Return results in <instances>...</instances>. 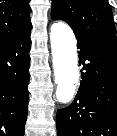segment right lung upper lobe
I'll list each match as a JSON object with an SVG mask.
<instances>
[{
	"mask_svg": "<svg viewBox=\"0 0 117 136\" xmlns=\"http://www.w3.org/2000/svg\"><path fill=\"white\" fill-rule=\"evenodd\" d=\"M29 0H0V43L32 29Z\"/></svg>",
	"mask_w": 117,
	"mask_h": 136,
	"instance_id": "1",
	"label": "right lung upper lobe"
}]
</instances>
